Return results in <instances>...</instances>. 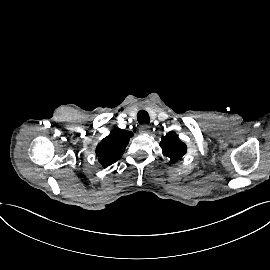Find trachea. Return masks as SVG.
<instances>
[{
    "label": "trachea",
    "instance_id": "obj_1",
    "mask_svg": "<svg viewBox=\"0 0 270 270\" xmlns=\"http://www.w3.org/2000/svg\"><path fill=\"white\" fill-rule=\"evenodd\" d=\"M137 120L139 124H148L150 122L149 114L145 110H140L137 113Z\"/></svg>",
    "mask_w": 270,
    "mask_h": 270
}]
</instances>
